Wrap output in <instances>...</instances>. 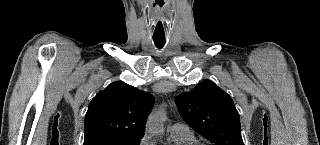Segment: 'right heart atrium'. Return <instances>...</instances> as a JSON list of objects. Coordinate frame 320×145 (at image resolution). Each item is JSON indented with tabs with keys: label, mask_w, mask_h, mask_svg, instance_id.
I'll use <instances>...</instances> for the list:
<instances>
[{
	"label": "right heart atrium",
	"mask_w": 320,
	"mask_h": 145,
	"mask_svg": "<svg viewBox=\"0 0 320 145\" xmlns=\"http://www.w3.org/2000/svg\"><path fill=\"white\" fill-rule=\"evenodd\" d=\"M140 145H152L150 137L148 135H144L140 141Z\"/></svg>",
	"instance_id": "1"
}]
</instances>
